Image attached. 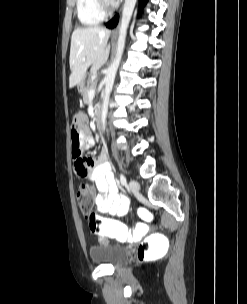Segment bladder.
I'll return each instance as SVG.
<instances>
[{
	"instance_id": "1",
	"label": "bladder",
	"mask_w": 247,
	"mask_h": 304,
	"mask_svg": "<svg viewBox=\"0 0 247 304\" xmlns=\"http://www.w3.org/2000/svg\"><path fill=\"white\" fill-rule=\"evenodd\" d=\"M128 254L126 247L113 244L93 246L89 250L92 262L98 265L118 266L127 259Z\"/></svg>"
}]
</instances>
